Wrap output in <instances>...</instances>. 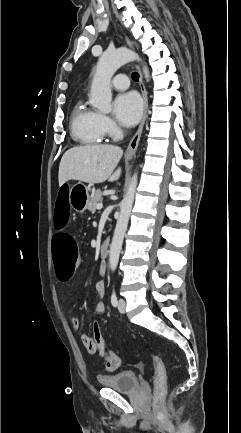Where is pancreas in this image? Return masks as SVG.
Segmentation results:
<instances>
[{
  "label": "pancreas",
  "instance_id": "obj_1",
  "mask_svg": "<svg viewBox=\"0 0 241 433\" xmlns=\"http://www.w3.org/2000/svg\"><path fill=\"white\" fill-rule=\"evenodd\" d=\"M102 200V192L101 190H97L91 197L90 200L88 202V210L90 212H95L96 211V205L101 202Z\"/></svg>",
  "mask_w": 241,
  "mask_h": 433
}]
</instances>
